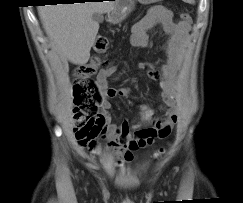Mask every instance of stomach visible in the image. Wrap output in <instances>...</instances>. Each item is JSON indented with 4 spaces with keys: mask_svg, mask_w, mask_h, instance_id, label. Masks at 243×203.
I'll list each match as a JSON object with an SVG mask.
<instances>
[{
    "mask_svg": "<svg viewBox=\"0 0 243 203\" xmlns=\"http://www.w3.org/2000/svg\"><path fill=\"white\" fill-rule=\"evenodd\" d=\"M162 0H138L139 3L147 5ZM135 6L134 0H116L115 6L107 13V21L112 24H118L124 21Z\"/></svg>",
    "mask_w": 243,
    "mask_h": 203,
    "instance_id": "obj_1",
    "label": "stomach"
}]
</instances>
